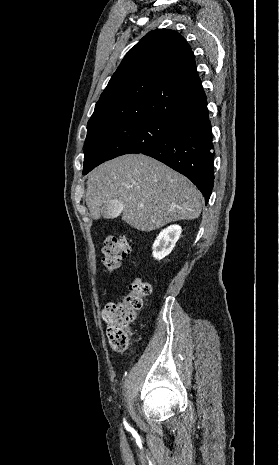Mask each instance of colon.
Instances as JSON below:
<instances>
[{
    "label": "colon",
    "instance_id": "colon-1",
    "mask_svg": "<svg viewBox=\"0 0 279 465\" xmlns=\"http://www.w3.org/2000/svg\"><path fill=\"white\" fill-rule=\"evenodd\" d=\"M131 245L125 236H109L102 248V263L106 271L114 272L128 256ZM151 285L141 277L134 278L129 291L116 303L107 304L102 312L106 323V335L111 348L116 352L128 350L131 338L130 327L136 319L137 311L150 294Z\"/></svg>",
    "mask_w": 279,
    "mask_h": 465
}]
</instances>
